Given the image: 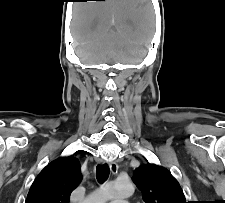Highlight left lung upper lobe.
<instances>
[{
	"label": "left lung upper lobe",
	"instance_id": "1",
	"mask_svg": "<svg viewBox=\"0 0 225 203\" xmlns=\"http://www.w3.org/2000/svg\"><path fill=\"white\" fill-rule=\"evenodd\" d=\"M132 179L145 203H187L179 183L163 167L150 163L140 166Z\"/></svg>",
	"mask_w": 225,
	"mask_h": 203
}]
</instances>
